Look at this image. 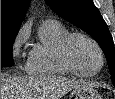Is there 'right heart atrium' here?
Returning a JSON list of instances; mask_svg holds the SVG:
<instances>
[{"instance_id": "d8ad5b80", "label": "right heart atrium", "mask_w": 115, "mask_h": 99, "mask_svg": "<svg viewBox=\"0 0 115 99\" xmlns=\"http://www.w3.org/2000/svg\"><path fill=\"white\" fill-rule=\"evenodd\" d=\"M28 33V27L24 26L19 30V32L15 36L11 46V53L14 58L20 57L21 49L28 38Z\"/></svg>"}]
</instances>
